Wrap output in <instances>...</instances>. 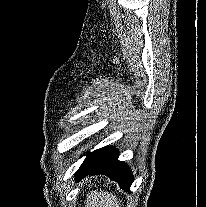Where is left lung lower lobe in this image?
Here are the masks:
<instances>
[{
	"label": "left lung lower lobe",
	"mask_w": 206,
	"mask_h": 207,
	"mask_svg": "<svg viewBox=\"0 0 206 207\" xmlns=\"http://www.w3.org/2000/svg\"><path fill=\"white\" fill-rule=\"evenodd\" d=\"M118 152L114 147H103L88 153L75 179L80 181L87 175L104 174L117 181L120 187L130 192L133 177L127 164L118 161Z\"/></svg>",
	"instance_id": "obj_1"
}]
</instances>
